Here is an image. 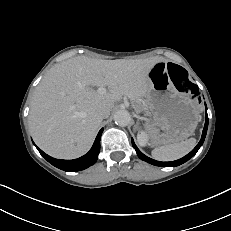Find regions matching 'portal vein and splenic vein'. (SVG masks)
Listing matches in <instances>:
<instances>
[{"mask_svg":"<svg viewBox=\"0 0 231 231\" xmlns=\"http://www.w3.org/2000/svg\"><path fill=\"white\" fill-rule=\"evenodd\" d=\"M105 92H106V89H105L104 87L98 88V93H99V94H103V93H105Z\"/></svg>","mask_w":231,"mask_h":231,"instance_id":"obj_1","label":"portal vein and splenic vein"}]
</instances>
